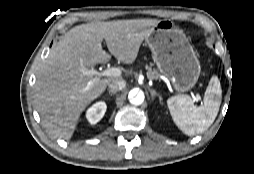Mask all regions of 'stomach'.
<instances>
[{
    "mask_svg": "<svg viewBox=\"0 0 254 174\" xmlns=\"http://www.w3.org/2000/svg\"><path fill=\"white\" fill-rule=\"evenodd\" d=\"M158 70L178 92L192 89L198 81L201 67L188 38L171 20H161L145 38Z\"/></svg>",
    "mask_w": 254,
    "mask_h": 174,
    "instance_id": "1",
    "label": "stomach"
}]
</instances>
